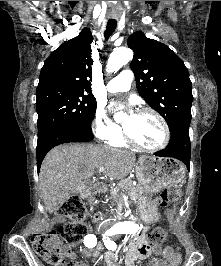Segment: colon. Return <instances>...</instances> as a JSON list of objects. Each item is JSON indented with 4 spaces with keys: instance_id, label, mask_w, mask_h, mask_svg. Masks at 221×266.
Masks as SVG:
<instances>
[{
    "instance_id": "colon-1",
    "label": "colon",
    "mask_w": 221,
    "mask_h": 266,
    "mask_svg": "<svg viewBox=\"0 0 221 266\" xmlns=\"http://www.w3.org/2000/svg\"><path fill=\"white\" fill-rule=\"evenodd\" d=\"M180 196L181 189L178 186H170L160 194L156 203L159 207L166 208L176 203ZM56 214L69 220L61 227L59 234L56 232L37 233L31 238L36 254L52 266H58L63 261L62 243L77 244L88 230L85 223L86 208L80 199L74 197L65 200ZM149 238L153 247H159L167 241L168 235L163 229L157 228L150 233ZM180 260V254L172 248L169 252L168 266H179Z\"/></svg>"
}]
</instances>
